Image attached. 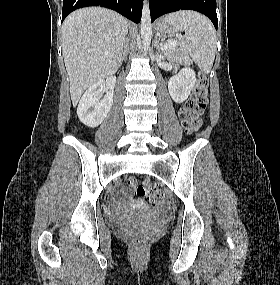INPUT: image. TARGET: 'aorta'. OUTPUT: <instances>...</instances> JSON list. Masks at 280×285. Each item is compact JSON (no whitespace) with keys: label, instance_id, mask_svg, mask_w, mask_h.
<instances>
[{"label":"aorta","instance_id":"762f6f07","mask_svg":"<svg viewBox=\"0 0 280 285\" xmlns=\"http://www.w3.org/2000/svg\"><path fill=\"white\" fill-rule=\"evenodd\" d=\"M141 38L143 50L146 52L150 46L152 38V26L148 0L144 1L141 17Z\"/></svg>","mask_w":280,"mask_h":285}]
</instances>
